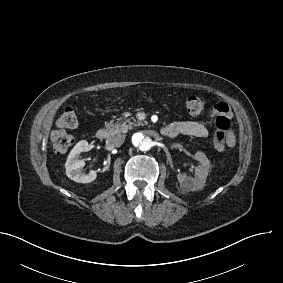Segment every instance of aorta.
Returning <instances> with one entry per match:
<instances>
[{
	"mask_svg": "<svg viewBox=\"0 0 283 283\" xmlns=\"http://www.w3.org/2000/svg\"><path fill=\"white\" fill-rule=\"evenodd\" d=\"M154 146V142L146 132H136L131 138V147L138 152H148Z\"/></svg>",
	"mask_w": 283,
	"mask_h": 283,
	"instance_id": "762f6f07",
	"label": "aorta"
}]
</instances>
